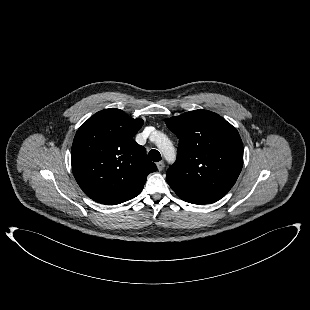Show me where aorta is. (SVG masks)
I'll return each mask as SVG.
<instances>
[{
	"mask_svg": "<svg viewBox=\"0 0 310 310\" xmlns=\"http://www.w3.org/2000/svg\"><path fill=\"white\" fill-rule=\"evenodd\" d=\"M156 139V145L159 148V150L162 152L164 157L168 161H172L175 158V149L171 141L168 139V137L161 132H156L155 134Z\"/></svg>",
	"mask_w": 310,
	"mask_h": 310,
	"instance_id": "762f6f07",
	"label": "aorta"
}]
</instances>
